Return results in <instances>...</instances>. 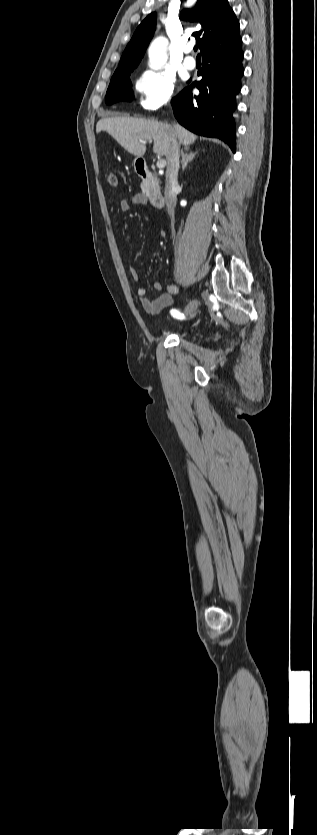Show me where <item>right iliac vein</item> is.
I'll return each mask as SVG.
<instances>
[{
	"label": "right iliac vein",
	"instance_id": "right-iliac-vein-1",
	"mask_svg": "<svg viewBox=\"0 0 317 835\" xmlns=\"http://www.w3.org/2000/svg\"><path fill=\"white\" fill-rule=\"evenodd\" d=\"M192 303H195V304H196V307H195V308H192V307L190 306V304H189V305H188V306L184 309V314H185L186 316L192 315V313H193V312L197 309V307H198V301H197V300L192 301Z\"/></svg>",
	"mask_w": 317,
	"mask_h": 835
}]
</instances>
